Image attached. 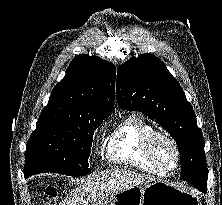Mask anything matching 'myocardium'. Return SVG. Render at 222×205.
<instances>
[{
  "instance_id": "1",
  "label": "myocardium",
  "mask_w": 222,
  "mask_h": 205,
  "mask_svg": "<svg viewBox=\"0 0 222 205\" xmlns=\"http://www.w3.org/2000/svg\"><path fill=\"white\" fill-rule=\"evenodd\" d=\"M158 139L165 140L173 146L175 150V154H176V159L172 167H166L163 164H161V162L158 160L154 151V144L156 140ZM144 148L150 162L162 172L169 173L175 170L176 168H178L180 164V160H181L180 147L177 141L173 137H171L169 134L162 131L153 130L146 136L145 142H144Z\"/></svg>"
}]
</instances>
